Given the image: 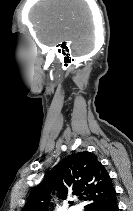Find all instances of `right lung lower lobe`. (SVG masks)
Returning a JSON list of instances; mask_svg holds the SVG:
<instances>
[{"label": "right lung lower lobe", "instance_id": "98d812e1", "mask_svg": "<svg viewBox=\"0 0 133 211\" xmlns=\"http://www.w3.org/2000/svg\"><path fill=\"white\" fill-rule=\"evenodd\" d=\"M96 211H119L117 202H113L110 205L100 206Z\"/></svg>", "mask_w": 133, "mask_h": 211}]
</instances>
